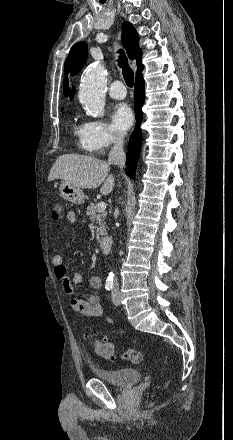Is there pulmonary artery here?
Returning <instances> with one entry per match:
<instances>
[{"mask_svg":"<svg viewBox=\"0 0 233 440\" xmlns=\"http://www.w3.org/2000/svg\"><path fill=\"white\" fill-rule=\"evenodd\" d=\"M108 93L114 99H123L126 96V89L121 81L116 80L110 84Z\"/></svg>","mask_w":233,"mask_h":440,"instance_id":"obj_1","label":"pulmonary artery"}]
</instances>
